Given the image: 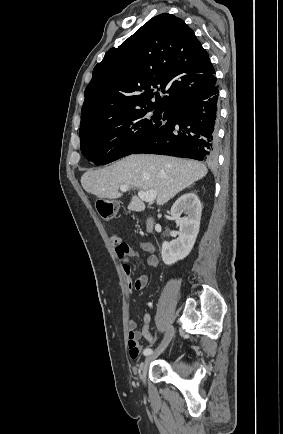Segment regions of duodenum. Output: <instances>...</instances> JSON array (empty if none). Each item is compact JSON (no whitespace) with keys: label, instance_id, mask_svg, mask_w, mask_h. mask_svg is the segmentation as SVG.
I'll return each instance as SVG.
<instances>
[{"label":"duodenum","instance_id":"1","mask_svg":"<svg viewBox=\"0 0 283 434\" xmlns=\"http://www.w3.org/2000/svg\"><path fill=\"white\" fill-rule=\"evenodd\" d=\"M148 231H152L154 229L153 222L149 219L147 223Z\"/></svg>","mask_w":283,"mask_h":434}]
</instances>
